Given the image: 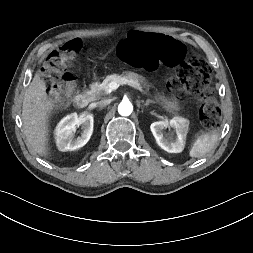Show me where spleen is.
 Instances as JSON below:
<instances>
[{
    "label": "spleen",
    "mask_w": 253,
    "mask_h": 253,
    "mask_svg": "<svg viewBox=\"0 0 253 253\" xmlns=\"http://www.w3.org/2000/svg\"><path fill=\"white\" fill-rule=\"evenodd\" d=\"M218 139V132L213 131L212 133L202 134L197 137L193 143L189 155L192 158H198L208 153L215 145Z\"/></svg>",
    "instance_id": "obj_1"
}]
</instances>
